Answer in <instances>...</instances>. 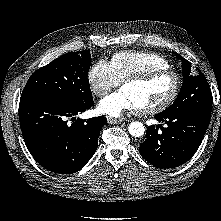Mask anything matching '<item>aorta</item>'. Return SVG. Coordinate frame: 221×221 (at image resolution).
I'll return each instance as SVG.
<instances>
[{"label": "aorta", "instance_id": "762f6f07", "mask_svg": "<svg viewBox=\"0 0 221 221\" xmlns=\"http://www.w3.org/2000/svg\"><path fill=\"white\" fill-rule=\"evenodd\" d=\"M128 131L133 137H141L145 132V128L141 122L134 121L129 124Z\"/></svg>", "mask_w": 221, "mask_h": 221}]
</instances>
